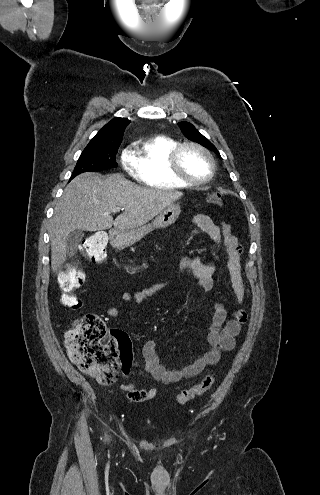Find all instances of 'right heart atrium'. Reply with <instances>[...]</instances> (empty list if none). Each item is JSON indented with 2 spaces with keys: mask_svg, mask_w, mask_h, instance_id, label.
I'll return each mask as SVG.
<instances>
[{
  "mask_svg": "<svg viewBox=\"0 0 320 495\" xmlns=\"http://www.w3.org/2000/svg\"><path fill=\"white\" fill-rule=\"evenodd\" d=\"M121 164L123 168L129 172H134L135 169V159L132 151L129 148L123 150L121 154Z\"/></svg>",
  "mask_w": 320,
  "mask_h": 495,
  "instance_id": "d8ad5b80",
  "label": "right heart atrium"
}]
</instances>
